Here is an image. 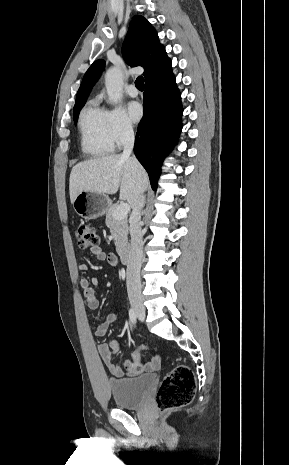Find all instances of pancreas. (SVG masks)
<instances>
[{
  "label": "pancreas",
  "mask_w": 289,
  "mask_h": 465,
  "mask_svg": "<svg viewBox=\"0 0 289 465\" xmlns=\"http://www.w3.org/2000/svg\"><path fill=\"white\" fill-rule=\"evenodd\" d=\"M118 204L111 205L106 212L105 223L114 236L116 251L120 253L128 244V221L127 217L115 219L114 211Z\"/></svg>",
  "instance_id": "cf45deb5"
}]
</instances>
